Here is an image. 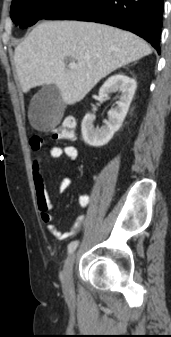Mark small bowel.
<instances>
[{
	"instance_id": "1",
	"label": "small bowel",
	"mask_w": 171,
	"mask_h": 337,
	"mask_svg": "<svg viewBox=\"0 0 171 337\" xmlns=\"http://www.w3.org/2000/svg\"><path fill=\"white\" fill-rule=\"evenodd\" d=\"M30 145L35 151V155L32 159V178L36 196V203L40 211L41 219L47 225L49 233L56 237L58 240H65L72 236H75L84 225L89 204V197L87 195H81L79 197L80 214L73 221L68 229L60 230L55 224V216L52 213L53 205L45 181V174L43 169L44 159L43 156L39 153V150L43 145V139L40 137H32L30 139ZM49 152L52 158L65 156L72 161L76 160L79 155L78 149L74 145H65L63 147H60L51 144ZM71 184V178L64 177L58 184V191H65L71 186Z\"/></svg>"
}]
</instances>
